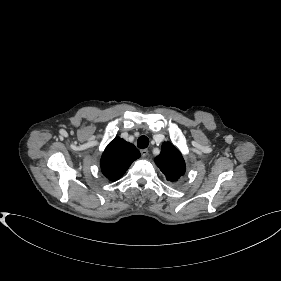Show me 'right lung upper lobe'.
<instances>
[{
	"mask_svg": "<svg viewBox=\"0 0 281 281\" xmlns=\"http://www.w3.org/2000/svg\"><path fill=\"white\" fill-rule=\"evenodd\" d=\"M141 156L138 149L120 137H116L104 150L101 170L105 177L115 181L123 176L131 163Z\"/></svg>",
	"mask_w": 281,
	"mask_h": 281,
	"instance_id": "obj_1",
	"label": "right lung upper lobe"
}]
</instances>
